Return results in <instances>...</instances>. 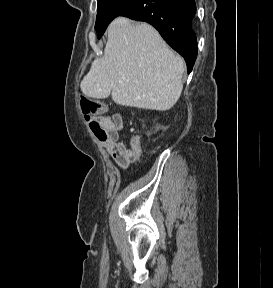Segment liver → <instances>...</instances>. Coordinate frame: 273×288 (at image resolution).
<instances>
[{
	"mask_svg": "<svg viewBox=\"0 0 273 288\" xmlns=\"http://www.w3.org/2000/svg\"><path fill=\"white\" fill-rule=\"evenodd\" d=\"M183 60L147 23L118 17L108 27L104 55L93 61L80 87L87 97L122 106L167 111L178 101Z\"/></svg>",
	"mask_w": 273,
	"mask_h": 288,
	"instance_id": "1",
	"label": "liver"
}]
</instances>
